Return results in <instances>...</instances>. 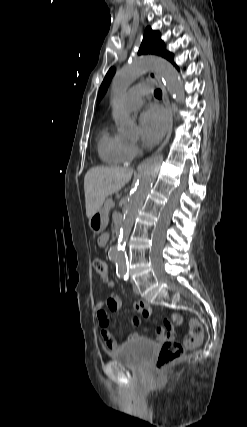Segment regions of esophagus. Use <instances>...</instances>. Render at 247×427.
<instances>
[{"label": "esophagus", "mask_w": 247, "mask_h": 427, "mask_svg": "<svg viewBox=\"0 0 247 427\" xmlns=\"http://www.w3.org/2000/svg\"><path fill=\"white\" fill-rule=\"evenodd\" d=\"M148 76L162 90L163 104L165 105L166 109L168 110V114H169V125H168V132H167L166 138L163 141V143L161 144V146L158 148V150L156 151L155 154L144 159L138 165V167H137L138 171L144 169V167H146V165H148L150 163V161L154 158V156L166 146V144L168 143V141L171 137L172 128H173V110H172V107H171V104H170V101L168 98L167 90H166L165 86L163 85V83L161 82V80L157 77V75L153 71H150Z\"/></svg>", "instance_id": "34e87169"}]
</instances>
